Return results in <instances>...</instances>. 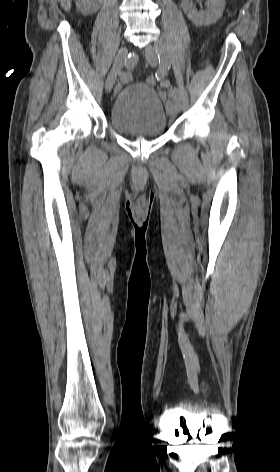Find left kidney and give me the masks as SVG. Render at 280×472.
<instances>
[{
    "label": "left kidney",
    "mask_w": 280,
    "mask_h": 472,
    "mask_svg": "<svg viewBox=\"0 0 280 472\" xmlns=\"http://www.w3.org/2000/svg\"><path fill=\"white\" fill-rule=\"evenodd\" d=\"M205 5L207 10L205 12H198L189 0L182 1L184 13L196 26L216 23L223 14L225 0H207Z\"/></svg>",
    "instance_id": "obj_1"
}]
</instances>
